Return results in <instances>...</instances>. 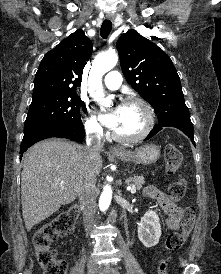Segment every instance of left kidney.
<instances>
[{
    "instance_id": "1",
    "label": "left kidney",
    "mask_w": 221,
    "mask_h": 274,
    "mask_svg": "<svg viewBox=\"0 0 221 274\" xmlns=\"http://www.w3.org/2000/svg\"><path fill=\"white\" fill-rule=\"evenodd\" d=\"M161 237L160 220L156 212L146 211L138 223V238L146 248L154 247Z\"/></svg>"
}]
</instances>
